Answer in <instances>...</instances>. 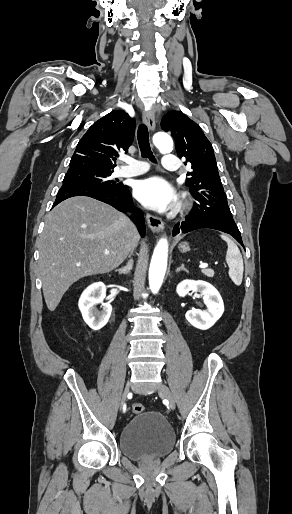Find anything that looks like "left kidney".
<instances>
[{
  "label": "left kidney",
  "mask_w": 292,
  "mask_h": 514,
  "mask_svg": "<svg viewBox=\"0 0 292 514\" xmlns=\"http://www.w3.org/2000/svg\"><path fill=\"white\" fill-rule=\"evenodd\" d=\"M191 290L200 292L207 310H203V312L202 310H189V312H186L185 318L194 328L209 330L224 312L223 300L216 288L208 282H203V280H197V282L195 280H183L178 284L176 292L178 296L184 298Z\"/></svg>",
  "instance_id": "left-kidney-1"
}]
</instances>
